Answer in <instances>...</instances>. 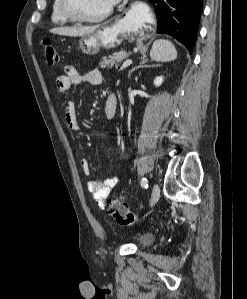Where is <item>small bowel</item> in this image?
Segmentation results:
<instances>
[{
  "label": "small bowel",
  "instance_id": "small-bowel-1",
  "mask_svg": "<svg viewBox=\"0 0 247 299\" xmlns=\"http://www.w3.org/2000/svg\"><path fill=\"white\" fill-rule=\"evenodd\" d=\"M101 81L100 71L97 69L88 70L83 73L77 71L74 67H67L63 74L56 77V86L59 93L65 98L64 118L67 126L70 129L77 130L80 128V123L75 110V104L69 93L73 86L79 84L96 85ZM107 102H114L116 104V97L111 94ZM80 167L85 175L91 172L90 163L87 159L80 161ZM118 177L97 178L90 180L87 184L88 190L92 193L96 204L100 208L105 207L106 200L110 195L112 189L117 185Z\"/></svg>",
  "mask_w": 247,
  "mask_h": 299
}]
</instances>
